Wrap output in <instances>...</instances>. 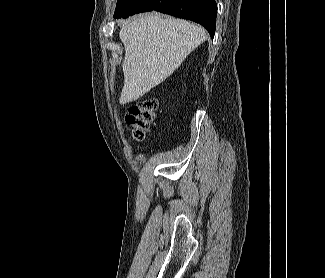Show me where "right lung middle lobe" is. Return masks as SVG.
Returning a JSON list of instances; mask_svg holds the SVG:
<instances>
[{"label":"right lung middle lobe","instance_id":"1","mask_svg":"<svg viewBox=\"0 0 325 278\" xmlns=\"http://www.w3.org/2000/svg\"><path fill=\"white\" fill-rule=\"evenodd\" d=\"M135 0H118L114 18L128 16L134 9Z\"/></svg>","mask_w":325,"mask_h":278}]
</instances>
